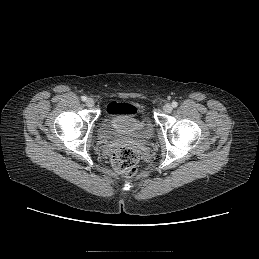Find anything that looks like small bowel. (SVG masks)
Returning <instances> with one entry per match:
<instances>
[{
  "instance_id": "small-bowel-1",
  "label": "small bowel",
  "mask_w": 259,
  "mask_h": 259,
  "mask_svg": "<svg viewBox=\"0 0 259 259\" xmlns=\"http://www.w3.org/2000/svg\"><path fill=\"white\" fill-rule=\"evenodd\" d=\"M122 104L116 103V102H112L110 104H108L107 108H110L112 110H116V111H120V106Z\"/></svg>"
}]
</instances>
